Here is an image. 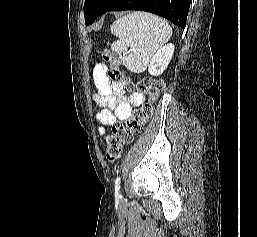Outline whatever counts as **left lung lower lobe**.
<instances>
[{
  "instance_id": "1",
  "label": "left lung lower lobe",
  "mask_w": 257,
  "mask_h": 237,
  "mask_svg": "<svg viewBox=\"0 0 257 237\" xmlns=\"http://www.w3.org/2000/svg\"><path fill=\"white\" fill-rule=\"evenodd\" d=\"M190 4L191 0H108L86 25L108 11L141 10L162 16L184 29Z\"/></svg>"
}]
</instances>
